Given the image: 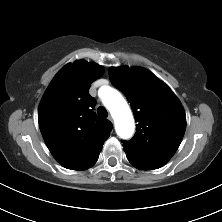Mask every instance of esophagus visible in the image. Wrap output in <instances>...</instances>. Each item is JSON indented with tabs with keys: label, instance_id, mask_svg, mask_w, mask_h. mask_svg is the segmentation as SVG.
Masks as SVG:
<instances>
[{
	"label": "esophagus",
	"instance_id": "1",
	"mask_svg": "<svg viewBox=\"0 0 222 222\" xmlns=\"http://www.w3.org/2000/svg\"><path fill=\"white\" fill-rule=\"evenodd\" d=\"M108 120L111 121V122H113V119H112L111 116H108Z\"/></svg>",
	"mask_w": 222,
	"mask_h": 222
}]
</instances>
